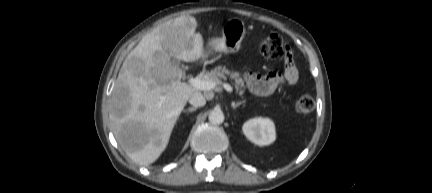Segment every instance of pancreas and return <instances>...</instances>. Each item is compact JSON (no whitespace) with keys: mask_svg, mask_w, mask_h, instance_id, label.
<instances>
[{"mask_svg":"<svg viewBox=\"0 0 432 193\" xmlns=\"http://www.w3.org/2000/svg\"><path fill=\"white\" fill-rule=\"evenodd\" d=\"M205 75L209 80L215 82L217 85H221L223 81L227 80V77H229L231 80H233L236 92L238 94H242L244 92L245 84L238 72L230 71L226 67L217 66L210 72H206Z\"/></svg>","mask_w":432,"mask_h":193,"instance_id":"cf45deb5","label":"pancreas"}]
</instances>
